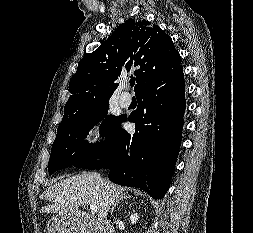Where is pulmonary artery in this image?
<instances>
[{
    "label": "pulmonary artery",
    "mask_w": 253,
    "mask_h": 233,
    "mask_svg": "<svg viewBox=\"0 0 253 233\" xmlns=\"http://www.w3.org/2000/svg\"><path fill=\"white\" fill-rule=\"evenodd\" d=\"M119 103L122 107H128L131 104V98L124 93L120 96Z\"/></svg>",
    "instance_id": "e3ab8cb5"
}]
</instances>
